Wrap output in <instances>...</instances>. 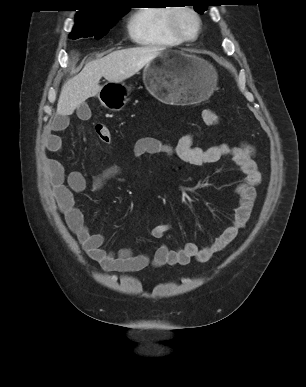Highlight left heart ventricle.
I'll use <instances>...</instances> for the list:
<instances>
[{
    "label": "left heart ventricle",
    "instance_id": "b2bd125f",
    "mask_svg": "<svg viewBox=\"0 0 306 387\" xmlns=\"http://www.w3.org/2000/svg\"><path fill=\"white\" fill-rule=\"evenodd\" d=\"M179 24L182 30L189 36H193L196 31V20L188 12H182L179 15Z\"/></svg>",
    "mask_w": 306,
    "mask_h": 387
}]
</instances>
